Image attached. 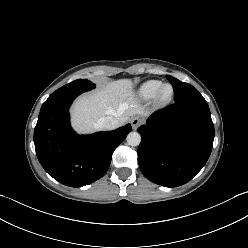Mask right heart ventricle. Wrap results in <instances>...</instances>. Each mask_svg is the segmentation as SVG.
<instances>
[{"label":"right heart ventricle","instance_id":"right-heart-ventricle-1","mask_svg":"<svg viewBox=\"0 0 248 248\" xmlns=\"http://www.w3.org/2000/svg\"><path fill=\"white\" fill-rule=\"evenodd\" d=\"M160 86L161 81L159 80H147L137 88L135 96L139 100L147 101L155 96Z\"/></svg>","mask_w":248,"mask_h":248}]
</instances>
